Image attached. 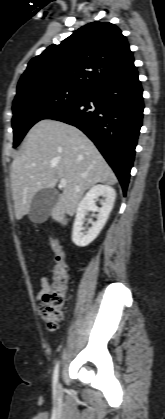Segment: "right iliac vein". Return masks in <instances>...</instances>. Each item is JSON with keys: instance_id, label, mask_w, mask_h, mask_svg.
Returning <instances> with one entry per match:
<instances>
[{"instance_id": "63e3f726", "label": "right iliac vein", "mask_w": 165, "mask_h": 419, "mask_svg": "<svg viewBox=\"0 0 165 419\" xmlns=\"http://www.w3.org/2000/svg\"><path fill=\"white\" fill-rule=\"evenodd\" d=\"M56 389H57V391H60L61 390V385L60 384H57L56 385Z\"/></svg>"}]
</instances>
